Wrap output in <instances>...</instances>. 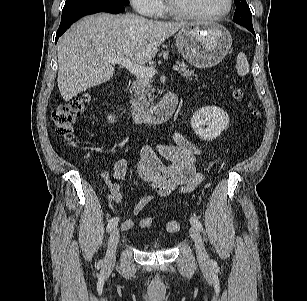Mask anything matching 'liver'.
<instances>
[{
  "label": "liver",
  "instance_id": "6515ba94",
  "mask_svg": "<svg viewBox=\"0 0 307 301\" xmlns=\"http://www.w3.org/2000/svg\"><path fill=\"white\" fill-rule=\"evenodd\" d=\"M187 23L149 20L136 14L100 13L84 17L59 39L58 87L65 101L112 78L108 58L151 61L158 47Z\"/></svg>",
  "mask_w": 307,
  "mask_h": 301
}]
</instances>
